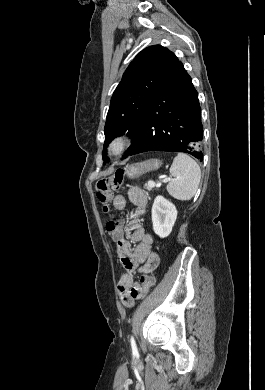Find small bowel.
I'll return each mask as SVG.
<instances>
[{
  "instance_id": "small-bowel-1",
  "label": "small bowel",
  "mask_w": 265,
  "mask_h": 390,
  "mask_svg": "<svg viewBox=\"0 0 265 390\" xmlns=\"http://www.w3.org/2000/svg\"><path fill=\"white\" fill-rule=\"evenodd\" d=\"M130 201L136 208L135 218L139 219L148 203V197L139 188H131L127 197L116 195L113 198V205L116 209H124L127 201ZM125 235V236H124ZM131 243H136V247L131 251ZM152 236L147 233L142 224L133 221L122 227V235L116 241L117 253L125 271L120 275L118 281V291L123 305L132 307L135 301L142 297L141 284L135 281L138 274H148L154 271L159 263V256L152 251Z\"/></svg>"
}]
</instances>
